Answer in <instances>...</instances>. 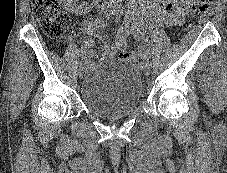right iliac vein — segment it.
Wrapping results in <instances>:
<instances>
[{"label":"right iliac vein","mask_w":227,"mask_h":173,"mask_svg":"<svg viewBox=\"0 0 227 173\" xmlns=\"http://www.w3.org/2000/svg\"><path fill=\"white\" fill-rule=\"evenodd\" d=\"M84 72H85V65H81L79 67V70H78L79 77H82V75L84 74Z\"/></svg>","instance_id":"1"}]
</instances>
